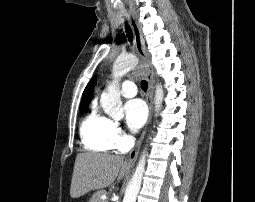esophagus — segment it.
<instances>
[{
	"label": "esophagus",
	"mask_w": 255,
	"mask_h": 202,
	"mask_svg": "<svg viewBox=\"0 0 255 202\" xmlns=\"http://www.w3.org/2000/svg\"><path fill=\"white\" fill-rule=\"evenodd\" d=\"M130 21H131V25H132V29L134 33L136 50L138 52V55L141 58V67L144 70L145 76L148 81L147 103L149 106V119H150L151 109H152V97H153V74H152L151 64H150L149 56L145 47L144 38L141 32L140 26L137 20L135 19V17L132 16ZM145 133H146V127L143 130L135 147L129 153V156H128L129 165H133L135 163L138 157Z\"/></svg>",
	"instance_id": "obj_1"
}]
</instances>
